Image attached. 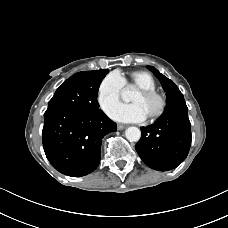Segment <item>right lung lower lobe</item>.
<instances>
[{
    "instance_id": "1",
    "label": "right lung lower lobe",
    "mask_w": 228,
    "mask_h": 228,
    "mask_svg": "<svg viewBox=\"0 0 228 228\" xmlns=\"http://www.w3.org/2000/svg\"><path fill=\"white\" fill-rule=\"evenodd\" d=\"M116 130V123L100 109H50L44 114L43 148L57 171L80 177L96 169L104 135Z\"/></svg>"
}]
</instances>
